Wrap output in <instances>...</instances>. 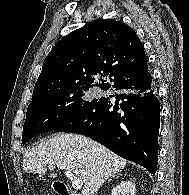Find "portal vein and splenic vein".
<instances>
[{"label":"portal vein and splenic vein","mask_w":189,"mask_h":195,"mask_svg":"<svg viewBox=\"0 0 189 195\" xmlns=\"http://www.w3.org/2000/svg\"><path fill=\"white\" fill-rule=\"evenodd\" d=\"M56 168L55 165H50L49 169L53 170ZM65 175L72 181V187L76 190L81 189L83 185V181L80 178H77L76 176L73 175V173L69 170L65 171Z\"/></svg>","instance_id":"portal-vein-and-splenic-vein-1"}]
</instances>
